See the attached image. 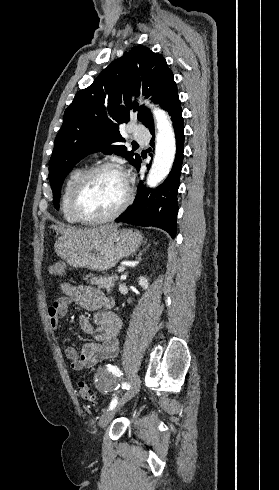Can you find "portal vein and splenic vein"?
Segmentation results:
<instances>
[{"label":"portal vein and splenic vein","mask_w":279,"mask_h":490,"mask_svg":"<svg viewBox=\"0 0 279 490\" xmlns=\"http://www.w3.org/2000/svg\"><path fill=\"white\" fill-rule=\"evenodd\" d=\"M124 270H125L124 266H119L118 272H124Z\"/></svg>","instance_id":"obj_1"}]
</instances>
